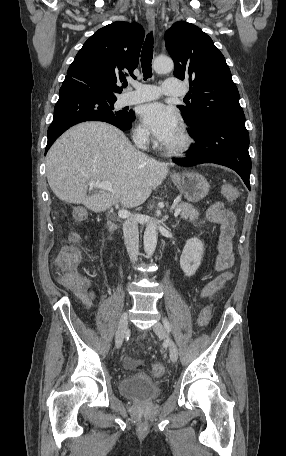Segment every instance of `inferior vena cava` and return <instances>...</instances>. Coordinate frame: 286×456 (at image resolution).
Wrapping results in <instances>:
<instances>
[{"instance_id": "1", "label": "inferior vena cava", "mask_w": 286, "mask_h": 456, "mask_svg": "<svg viewBox=\"0 0 286 456\" xmlns=\"http://www.w3.org/2000/svg\"><path fill=\"white\" fill-rule=\"evenodd\" d=\"M147 141L148 135L146 133H141L136 138V144L140 148L146 149ZM123 234L125 246L130 260L132 262H135L139 254V231L137 218L135 216H131L124 221Z\"/></svg>"}]
</instances>
